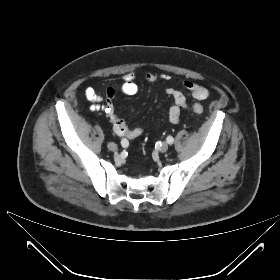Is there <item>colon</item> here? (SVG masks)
Instances as JSON below:
<instances>
[{
  "mask_svg": "<svg viewBox=\"0 0 280 280\" xmlns=\"http://www.w3.org/2000/svg\"><path fill=\"white\" fill-rule=\"evenodd\" d=\"M192 109L197 114H200L203 112V106L200 104H195Z\"/></svg>",
  "mask_w": 280,
  "mask_h": 280,
  "instance_id": "5ec220e1",
  "label": "colon"
}]
</instances>
